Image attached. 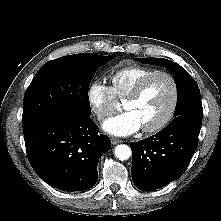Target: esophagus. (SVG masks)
<instances>
[{
	"mask_svg": "<svg viewBox=\"0 0 221 221\" xmlns=\"http://www.w3.org/2000/svg\"><path fill=\"white\" fill-rule=\"evenodd\" d=\"M111 142H112L113 145H116V144L121 143L122 140H121V139H118V138H112V139H111Z\"/></svg>",
	"mask_w": 221,
	"mask_h": 221,
	"instance_id": "1",
	"label": "esophagus"
}]
</instances>
